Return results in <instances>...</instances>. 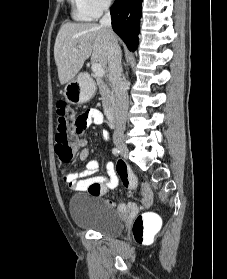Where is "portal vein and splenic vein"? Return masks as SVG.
Instances as JSON below:
<instances>
[{
    "label": "portal vein and splenic vein",
    "mask_w": 227,
    "mask_h": 279,
    "mask_svg": "<svg viewBox=\"0 0 227 279\" xmlns=\"http://www.w3.org/2000/svg\"><path fill=\"white\" fill-rule=\"evenodd\" d=\"M79 48H82V46H79ZM92 71L97 77H103L105 75V69L104 67L99 63H92Z\"/></svg>",
    "instance_id": "portal-vein-and-splenic-vein-1"
}]
</instances>
